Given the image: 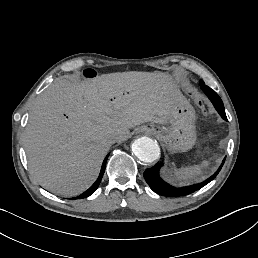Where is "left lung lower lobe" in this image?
<instances>
[{
    "mask_svg": "<svg viewBox=\"0 0 258 258\" xmlns=\"http://www.w3.org/2000/svg\"><path fill=\"white\" fill-rule=\"evenodd\" d=\"M200 86L204 91V93L207 95V97L210 99V101L213 103L215 109L220 114V116L227 121L224 105L221 98L218 96V94L210 87L206 86L202 80L200 81ZM224 162H225V158L222 161V164L219 167V169L204 182L187 186V187H182V188H175L167 184L166 182H164L159 177V169L163 165L162 163L156 164L152 168L146 169L143 175L146 182L154 192L164 196H185L199 190L200 188L208 184L210 181H212L221 170Z\"/></svg>",
    "mask_w": 258,
    "mask_h": 258,
    "instance_id": "1",
    "label": "left lung lower lobe"
}]
</instances>
